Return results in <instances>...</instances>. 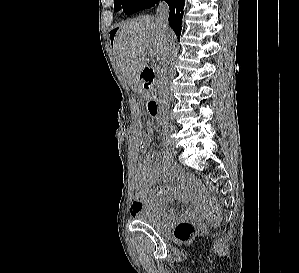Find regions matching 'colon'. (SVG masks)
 Returning <instances> with one entry per match:
<instances>
[{
	"mask_svg": "<svg viewBox=\"0 0 299 273\" xmlns=\"http://www.w3.org/2000/svg\"><path fill=\"white\" fill-rule=\"evenodd\" d=\"M149 138H145V146L151 144ZM219 208L217 199L214 196H209L206 198L203 208V216L211 223H216L218 220ZM204 229L201 225H195L188 221H183L178 223L174 228V236L179 241H187L191 239L196 233Z\"/></svg>",
	"mask_w": 299,
	"mask_h": 273,
	"instance_id": "obj_1",
	"label": "colon"
}]
</instances>
